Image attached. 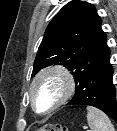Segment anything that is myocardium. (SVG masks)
Returning <instances> with one entry per match:
<instances>
[{"label": "myocardium", "mask_w": 117, "mask_h": 131, "mask_svg": "<svg viewBox=\"0 0 117 131\" xmlns=\"http://www.w3.org/2000/svg\"><path fill=\"white\" fill-rule=\"evenodd\" d=\"M54 76L59 78L63 83V92L57 102L48 110L39 111L36 106L35 101V89L37 85L46 77ZM75 90V80L73 75L63 66L55 65L49 66L42 69L32 80L29 87V99L33 110L38 114H49L59 107H61L64 103H66L69 98L72 96Z\"/></svg>", "instance_id": "1"}]
</instances>
